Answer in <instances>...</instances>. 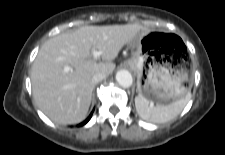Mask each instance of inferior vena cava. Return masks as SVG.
<instances>
[{
  "mask_svg": "<svg viewBox=\"0 0 225 155\" xmlns=\"http://www.w3.org/2000/svg\"><path fill=\"white\" fill-rule=\"evenodd\" d=\"M105 74L103 73H97L95 75L92 76V83L93 84H97L98 82L102 81L105 78Z\"/></svg>",
  "mask_w": 225,
  "mask_h": 155,
  "instance_id": "obj_1",
  "label": "inferior vena cava"
}]
</instances>
